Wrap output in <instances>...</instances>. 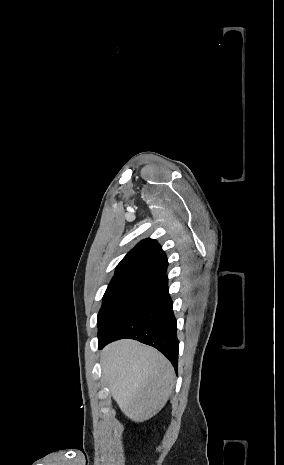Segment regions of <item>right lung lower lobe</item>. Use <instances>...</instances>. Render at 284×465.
<instances>
[{"label":"right lung lower lobe","mask_w":284,"mask_h":465,"mask_svg":"<svg viewBox=\"0 0 284 465\" xmlns=\"http://www.w3.org/2000/svg\"><path fill=\"white\" fill-rule=\"evenodd\" d=\"M165 275L98 336L99 349L106 344L130 338L153 346L163 353L177 373L179 341L172 301Z\"/></svg>","instance_id":"98d812e1"}]
</instances>
